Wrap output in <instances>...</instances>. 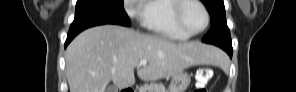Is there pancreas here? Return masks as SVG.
<instances>
[{"mask_svg":"<svg viewBox=\"0 0 296 92\" xmlns=\"http://www.w3.org/2000/svg\"><path fill=\"white\" fill-rule=\"evenodd\" d=\"M139 92H166L161 83H150L140 87Z\"/></svg>","mask_w":296,"mask_h":92,"instance_id":"1","label":"pancreas"}]
</instances>
